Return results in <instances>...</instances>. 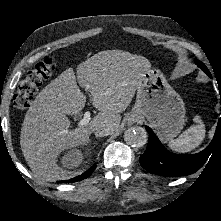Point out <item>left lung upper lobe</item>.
<instances>
[{
  "mask_svg": "<svg viewBox=\"0 0 221 221\" xmlns=\"http://www.w3.org/2000/svg\"><path fill=\"white\" fill-rule=\"evenodd\" d=\"M195 62L201 69H203L208 74V69L206 68V66L203 63H201L198 60H196Z\"/></svg>",
  "mask_w": 221,
  "mask_h": 221,
  "instance_id": "left-lung-upper-lobe-1",
  "label": "left lung upper lobe"
}]
</instances>
